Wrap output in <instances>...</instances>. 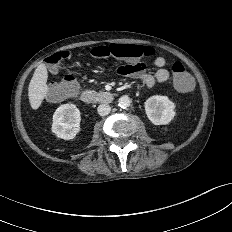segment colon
Masks as SVG:
<instances>
[{
    "label": "colon",
    "mask_w": 232,
    "mask_h": 232,
    "mask_svg": "<svg viewBox=\"0 0 232 232\" xmlns=\"http://www.w3.org/2000/svg\"><path fill=\"white\" fill-rule=\"evenodd\" d=\"M154 49L150 46L134 45V44H109L94 47L90 54L94 58H117L129 62L124 66L135 67L141 64L143 58L150 57L154 54ZM69 53L66 51L57 52L49 55L45 62L48 67L55 71L57 67L67 58ZM173 84L179 92H188L193 87V79L185 70L180 62H176L172 66ZM78 89V82L72 74L66 75L63 80L49 89V97L52 100H62L74 94Z\"/></svg>",
    "instance_id": "1"
}]
</instances>
